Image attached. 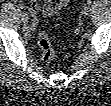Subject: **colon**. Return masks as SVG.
<instances>
[{
  "mask_svg": "<svg viewBox=\"0 0 111 106\" xmlns=\"http://www.w3.org/2000/svg\"><path fill=\"white\" fill-rule=\"evenodd\" d=\"M47 28H48V22L45 20H42L40 22L38 45L42 52L43 60L46 63H50L54 58V49H53L52 43L49 39Z\"/></svg>",
  "mask_w": 111,
  "mask_h": 106,
  "instance_id": "colon-1",
  "label": "colon"
}]
</instances>
